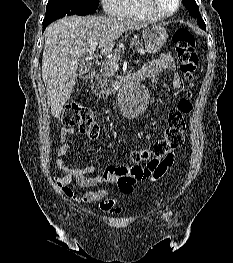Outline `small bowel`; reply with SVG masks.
I'll use <instances>...</instances> for the list:
<instances>
[{"instance_id": "obj_1", "label": "small bowel", "mask_w": 233, "mask_h": 263, "mask_svg": "<svg viewBox=\"0 0 233 263\" xmlns=\"http://www.w3.org/2000/svg\"><path fill=\"white\" fill-rule=\"evenodd\" d=\"M176 64L174 58L170 54H162L157 59L146 63L141 70L147 77L156 75L162 71H172L171 83L174 89L178 90L182 86V79L180 75L175 72ZM74 134L72 128H64L60 134V148L56 158L57 166L65 172V176L58 180V186L62 192L70 199L77 202L92 203L99 202L101 211L111 213L118 211V199L110 195L106 188H98L102 185L113 184L123 194H131L134 191V185L141 180L148 179L152 176L150 167H144L145 175L141 177H134L120 172L121 168L126 166L108 165L104 167L101 172L94 165L84 168H76L66 163L64 157L70 150V143L67 138L69 135ZM72 179H75L79 186L83 188H96L94 190L86 191L81 197L73 194L72 190L68 187Z\"/></svg>"}]
</instances>
